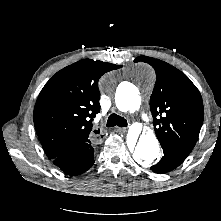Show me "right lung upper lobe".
<instances>
[{
	"mask_svg": "<svg viewBox=\"0 0 221 221\" xmlns=\"http://www.w3.org/2000/svg\"><path fill=\"white\" fill-rule=\"evenodd\" d=\"M122 65L80 60L57 72L41 90L34 125L42 147L54 159L93 137L92 121L100 111L98 81Z\"/></svg>",
	"mask_w": 221,
	"mask_h": 221,
	"instance_id": "obj_1",
	"label": "right lung upper lobe"
}]
</instances>
